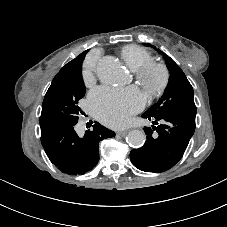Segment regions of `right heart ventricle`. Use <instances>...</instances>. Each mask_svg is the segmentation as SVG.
Returning <instances> with one entry per match:
<instances>
[{
    "instance_id": "right-heart-ventricle-1",
    "label": "right heart ventricle",
    "mask_w": 227,
    "mask_h": 227,
    "mask_svg": "<svg viewBox=\"0 0 227 227\" xmlns=\"http://www.w3.org/2000/svg\"><path fill=\"white\" fill-rule=\"evenodd\" d=\"M119 54L132 71L153 60L147 49L135 44L124 45L119 49Z\"/></svg>"
}]
</instances>
